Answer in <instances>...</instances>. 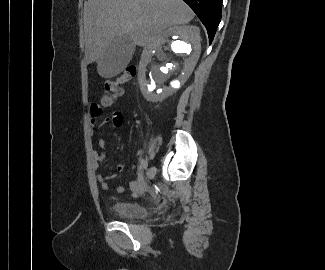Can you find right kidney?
<instances>
[{"mask_svg": "<svg viewBox=\"0 0 325 270\" xmlns=\"http://www.w3.org/2000/svg\"><path fill=\"white\" fill-rule=\"evenodd\" d=\"M200 52L198 27L174 26L164 31L159 40L144 50L141 56L138 80L144 98L158 102L172 95L193 72ZM153 56L158 62L154 61ZM148 72L149 78L146 75ZM168 81L169 85H165Z\"/></svg>", "mask_w": 325, "mask_h": 270, "instance_id": "obj_1", "label": "right kidney"}]
</instances>
